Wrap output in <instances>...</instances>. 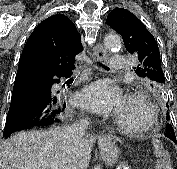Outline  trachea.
Returning a JSON list of instances; mask_svg holds the SVG:
<instances>
[{
  "label": "trachea",
  "instance_id": "1",
  "mask_svg": "<svg viewBox=\"0 0 177 169\" xmlns=\"http://www.w3.org/2000/svg\"><path fill=\"white\" fill-rule=\"evenodd\" d=\"M98 65H99L100 67L106 69V70H109V68H108L107 66H105V65H103V64H101V63H98Z\"/></svg>",
  "mask_w": 177,
  "mask_h": 169
}]
</instances>
